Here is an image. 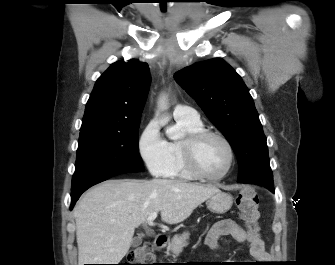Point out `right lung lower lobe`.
Returning <instances> with one entry per match:
<instances>
[{"label":"right lung lower lobe","mask_w":335,"mask_h":265,"mask_svg":"<svg viewBox=\"0 0 335 265\" xmlns=\"http://www.w3.org/2000/svg\"><path fill=\"white\" fill-rule=\"evenodd\" d=\"M110 176L108 177H100V178H96L93 179L89 182H86L82 185H80L78 188L71 190V206H70V210L73 209V206L75 205L76 201L79 199V197L81 196V194L87 190L88 188H90L91 186L100 183L106 179H108Z\"/></svg>","instance_id":"obj_1"}]
</instances>
